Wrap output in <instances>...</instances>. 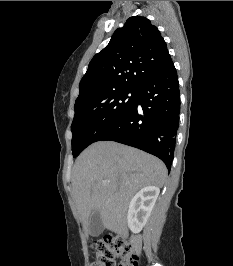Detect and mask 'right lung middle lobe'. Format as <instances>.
I'll return each mask as SVG.
<instances>
[{"label": "right lung middle lobe", "mask_w": 233, "mask_h": 266, "mask_svg": "<svg viewBox=\"0 0 233 266\" xmlns=\"http://www.w3.org/2000/svg\"><path fill=\"white\" fill-rule=\"evenodd\" d=\"M137 89L120 88L93 94L75 102L71 125L72 153L77 157L114 124L134 103Z\"/></svg>", "instance_id": "1"}]
</instances>
